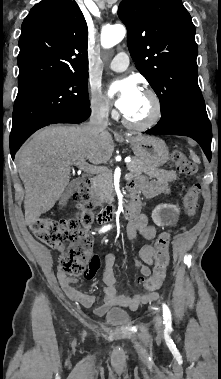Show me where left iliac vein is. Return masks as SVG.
I'll return each mask as SVG.
<instances>
[{
	"mask_svg": "<svg viewBox=\"0 0 221 379\" xmlns=\"http://www.w3.org/2000/svg\"><path fill=\"white\" fill-rule=\"evenodd\" d=\"M154 324H155V327L158 331H160L162 329V321H161V316L160 315H156L155 318H154Z\"/></svg>",
	"mask_w": 221,
	"mask_h": 379,
	"instance_id": "left-iliac-vein-1",
	"label": "left iliac vein"
}]
</instances>
